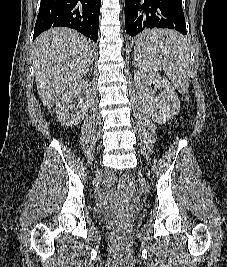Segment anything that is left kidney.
<instances>
[{
  "label": "left kidney",
  "instance_id": "5707ae66",
  "mask_svg": "<svg viewBox=\"0 0 227 267\" xmlns=\"http://www.w3.org/2000/svg\"><path fill=\"white\" fill-rule=\"evenodd\" d=\"M150 72L136 71L134 81L137 92L143 101L146 112L157 123H165L178 115L180 100L171 83L157 73L156 77H150ZM159 90L158 96L155 91Z\"/></svg>",
  "mask_w": 227,
  "mask_h": 267
}]
</instances>
